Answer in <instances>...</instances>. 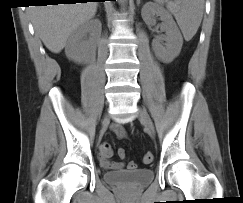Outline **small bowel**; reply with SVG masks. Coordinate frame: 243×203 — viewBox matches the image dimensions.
Masks as SVG:
<instances>
[{
    "instance_id": "c3829d8e",
    "label": "small bowel",
    "mask_w": 243,
    "mask_h": 203,
    "mask_svg": "<svg viewBox=\"0 0 243 203\" xmlns=\"http://www.w3.org/2000/svg\"><path fill=\"white\" fill-rule=\"evenodd\" d=\"M112 131L119 137L124 138L126 132L120 124H113ZM113 155V149L108 142H103L99 146V160L100 164L105 169L121 170L123 168V163L112 162L111 157ZM118 155L120 158H124L125 155H120L118 150Z\"/></svg>"
}]
</instances>
